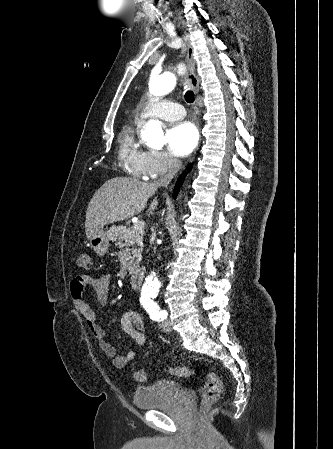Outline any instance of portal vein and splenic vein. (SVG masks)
I'll return each instance as SVG.
<instances>
[{
    "instance_id": "obj_1",
    "label": "portal vein and splenic vein",
    "mask_w": 333,
    "mask_h": 449,
    "mask_svg": "<svg viewBox=\"0 0 333 449\" xmlns=\"http://www.w3.org/2000/svg\"><path fill=\"white\" fill-rule=\"evenodd\" d=\"M144 228H145V223L144 222H136L134 224V226H133V229L137 230V231H143Z\"/></svg>"
}]
</instances>
